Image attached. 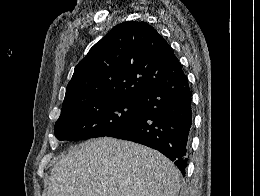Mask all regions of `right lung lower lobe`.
I'll list each match as a JSON object with an SVG mask.
<instances>
[{"label":"right lung lower lobe","mask_w":260,"mask_h":196,"mask_svg":"<svg viewBox=\"0 0 260 196\" xmlns=\"http://www.w3.org/2000/svg\"><path fill=\"white\" fill-rule=\"evenodd\" d=\"M144 118L108 137L133 141L158 150L186 174L192 128V92L183 73L140 98Z\"/></svg>","instance_id":"1"}]
</instances>
